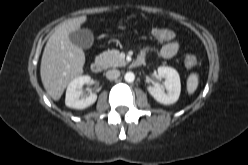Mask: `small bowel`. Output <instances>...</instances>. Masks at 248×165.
<instances>
[{
  "label": "small bowel",
  "mask_w": 248,
  "mask_h": 165,
  "mask_svg": "<svg viewBox=\"0 0 248 165\" xmlns=\"http://www.w3.org/2000/svg\"><path fill=\"white\" fill-rule=\"evenodd\" d=\"M179 50V42L176 39L168 40L166 43L161 47L159 51V57L161 59H170L176 56ZM146 55V50H142L140 53V57L144 58Z\"/></svg>",
  "instance_id": "obj_1"
}]
</instances>
